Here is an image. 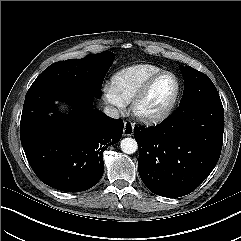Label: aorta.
Returning <instances> with one entry per match:
<instances>
[{
  "mask_svg": "<svg viewBox=\"0 0 241 241\" xmlns=\"http://www.w3.org/2000/svg\"><path fill=\"white\" fill-rule=\"evenodd\" d=\"M120 147L125 154H133L137 151L138 144L135 139L127 137L121 140Z\"/></svg>",
  "mask_w": 241,
  "mask_h": 241,
  "instance_id": "obj_1",
  "label": "aorta"
}]
</instances>
